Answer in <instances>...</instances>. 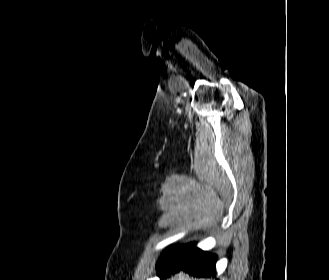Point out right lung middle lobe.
<instances>
[{
    "label": "right lung middle lobe",
    "instance_id": "dd1d6c3e",
    "mask_svg": "<svg viewBox=\"0 0 329 280\" xmlns=\"http://www.w3.org/2000/svg\"><path fill=\"white\" fill-rule=\"evenodd\" d=\"M168 250H169V248H168L166 251H164V254H165ZM164 254H163V255H164ZM162 257H163V256H162Z\"/></svg>",
    "mask_w": 329,
    "mask_h": 280
}]
</instances>
